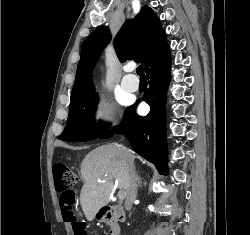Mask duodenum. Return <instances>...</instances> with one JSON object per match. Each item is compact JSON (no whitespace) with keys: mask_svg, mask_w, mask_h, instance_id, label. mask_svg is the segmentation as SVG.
Returning <instances> with one entry per match:
<instances>
[{"mask_svg":"<svg viewBox=\"0 0 250 235\" xmlns=\"http://www.w3.org/2000/svg\"><path fill=\"white\" fill-rule=\"evenodd\" d=\"M102 220L110 228L112 235H121L120 224L125 221V214L122 207L110 206L102 211Z\"/></svg>","mask_w":250,"mask_h":235,"instance_id":"1","label":"duodenum"}]
</instances>
